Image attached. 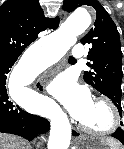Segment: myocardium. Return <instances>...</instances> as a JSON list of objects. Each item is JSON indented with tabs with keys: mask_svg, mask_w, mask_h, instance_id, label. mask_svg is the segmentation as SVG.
Here are the masks:
<instances>
[{
	"mask_svg": "<svg viewBox=\"0 0 124 149\" xmlns=\"http://www.w3.org/2000/svg\"><path fill=\"white\" fill-rule=\"evenodd\" d=\"M94 101L101 102L108 107V109L110 111V116H111V123H110L109 127L106 128L105 130L98 131V130H94V129L86 126L82 122L79 123V126L82 131H84L85 133H87L89 135L96 136V137L109 136V135L113 134L118 129V127L120 125L121 115H120L119 109L116 106V104L107 96H97L94 98Z\"/></svg>",
	"mask_w": 124,
	"mask_h": 149,
	"instance_id": "f54148a6",
	"label": "myocardium"
}]
</instances>
